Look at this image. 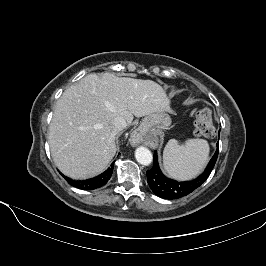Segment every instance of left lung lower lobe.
Returning <instances> with one entry per match:
<instances>
[{
  "mask_svg": "<svg viewBox=\"0 0 266 266\" xmlns=\"http://www.w3.org/2000/svg\"><path fill=\"white\" fill-rule=\"evenodd\" d=\"M218 151L219 145L217 143L216 153L213 155L205 171L196 179L184 182L169 179L161 172L157 161V153L155 151L153 167L146 172L149 187L157 196L169 200L178 199L190 194L209 177L216 163Z\"/></svg>",
  "mask_w": 266,
  "mask_h": 266,
  "instance_id": "1",
  "label": "left lung lower lobe"
}]
</instances>
